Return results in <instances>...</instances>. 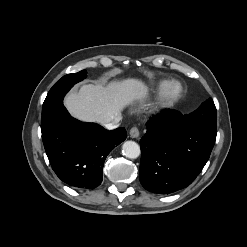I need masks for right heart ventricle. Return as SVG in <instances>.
<instances>
[{
    "label": "right heart ventricle",
    "instance_id": "1",
    "mask_svg": "<svg viewBox=\"0 0 247 247\" xmlns=\"http://www.w3.org/2000/svg\"><path fill=\"white\" fill-rule=\"evenodd\" d=\"M166 84V81H162L159 83L158 88H162Z\"/></svg>",
    "mask_w": 247,
    "mask_h": 247
}]
</instances>
